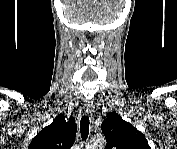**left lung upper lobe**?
I'll use <instances>...</instances> for the list:
<instances>
[{"mask_svg": "<svg viewBox=\"0 0 177 149\" xmlns=\"http://www.w3.org/2000/svg\"><path fill=\"white\" fill-rule=\"evenodd\" d=\"M101 129L107 141L106 149H150L145 136L115 112L109 113Z\"/></svg>", "mask_w": 177, "mask_h": 149, "instance_id": "5c2ea615", "label": "left lung upper lobe"}]
</instances>
